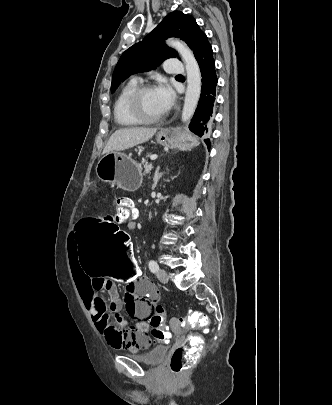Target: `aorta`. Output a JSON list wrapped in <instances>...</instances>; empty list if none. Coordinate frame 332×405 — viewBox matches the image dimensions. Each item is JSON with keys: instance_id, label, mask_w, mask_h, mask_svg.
<instances>
[{"instance_id": "1", "label": "aorta", "mask_w": 332, "mask_h": 405, "mask_svg": "<svg viewBox=\"0 0 332 405\" xmlns=\"http://www.w3.org/2000/svg\"><path fill=\"white\" fill-rule=\"evenodd\" d=\"M167 44L178 51L185 63L187 89L181 119L182 122L187 123L193 117L200 99L202 87L200 68L193 52L185 43L176 39H170L167 41Z\"/></svg>"}]
</instances>
